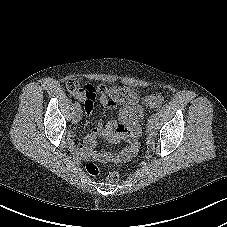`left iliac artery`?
Here are the masks:
<instances>
[{"mask_svg":"<svg viewBox=\"0 0 227 227\" xmlns=\"http://www.w3.org/2000/svg\"><path fill=\"white\" fill-rule=\"evenodd\" d=\"M154 118H155V113L153 112V114L148 119V122H152L154 120Z\"/></svg>","mask_w":227,"mask_h":227,"instance_id":"44dca946","label":"left iliac artery"}]
</instances>
